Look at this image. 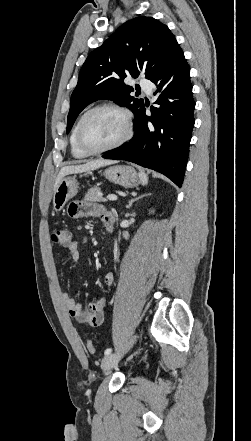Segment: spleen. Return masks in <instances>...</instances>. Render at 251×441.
Segmentation results:
<instances>
[{
  "label": "spleen",
  "instance_id": "3e777b00",
  "mask_svg": "<svg viewBox=\"0 0 251 441\" xmlns=\"http://www.w3.org/2000/svg\"><path fill=\"white\" fill-rule=\"evenodd\" d=\"M139 177H140V181L142 185H147L148 183V176L146 173L140 171L139 172Z\"/></svg>",
  "mask_w": 251,
  "mask_h": 441
}]
</instances>
